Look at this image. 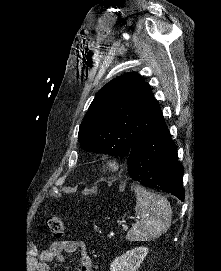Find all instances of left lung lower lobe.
I'll use <instances>...</instances> for the list:
<instances>
[{"instance_id": "1", "label": "left lung lower lobe", "mask_w": 221, "mask_h": 271, "mask_svg": "<svg viewBox=\"0 0 221 271\" xmlns=\"http://www.w3.org/2000/svg\"><path fill=\"white\" fill-rule=\"evenodd\" d=\"M128 173L142 185L162 190L184 201L183 166L165 121L150 130L130 150Z\"/></svg>"}]
</instances>
